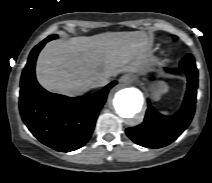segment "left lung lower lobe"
Returning <instances> with one entry per match:
<instances>
[{"mask_svg": "<svg viewBox=\"0 0 212 183\" xmlns=\"http://www.w3.org/2000/svg\"><path fill=\"white\" fill-rule=\"evenodd\" d=\"M182 72L187 75V91L181 109L173 116H163L156 112L148 102L144 122L126 129L127 136L136 144L148 148H161L169 145L182 134L190 124L196 103L198 70L192 55H187L180 62ZM167 72L174 73L166 68Z\"/></svg>", "mask_w": 212, "mask_h": 183, "instance_id": "left-lung-lower-lobe-1", "label": "left lung lower lobe"}]
</instances>
